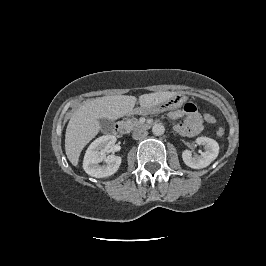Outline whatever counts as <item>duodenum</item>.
<instances>
[{
	"label": "duodenum",
	"mask_w": 266,
	"mask_h": 266,
	"mask_svg": "<svg viewBox=\"0 0 266 266\" xmlns=\"http://www.w3.org/2000/svg\"><path fill=\"white\" fill-rule=\"evenodd\" d=\"M136 113V111L134 112ZM124 123L123 122H117L115 124L114 132L117 137H121L124 134Z\"/></svg>",
	"instance_id": "obj_1"
}]
</instances>
